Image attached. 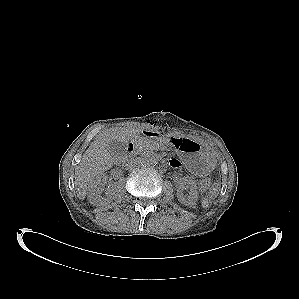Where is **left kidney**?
I'll use <instances>...</instances> for the list:
<instances>
[{"label": "left kidney", "instance_id": "obj_1", "mask_svg": "<svg viewBox=\"0 0 299 299\" xmlns=\"http://www.w3.org/2000/svg\"><path fill=\"white\" fill-rule=\"evenodd\" d=\"M190 189L189 196L185 197L183 194V189ZM178 200L187 206H193L196 204L198 199L197 184L191 177H184L180 181V185L177 189Z\"/></svg>", "mask_w": 299, "mask_h": 299}]
</instances>
